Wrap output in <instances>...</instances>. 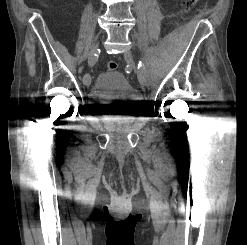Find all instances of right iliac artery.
I'll return each mask as SVG.
<instances>
[{"mask_svg": "<svg viewBox=\"0 0 247 245\" xmlns=\"http://www.w3.org/2000/svg\"><path fill=\"white\" fill-rule=\"evenodd\" d=\"M93 57H97V59H98V54L96 53V54H94V56Z\"/></svg>", "mask_w": 247, "mask_h": 245, "instance_id": "obj_1", "label": "right iliac artery"}]
</instances>
